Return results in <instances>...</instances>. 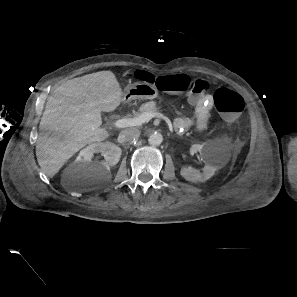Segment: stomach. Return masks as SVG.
<instances>
[{"label": "stomach", "mask_w": 297, "mask_h": 297, "mask_svg": "<svg viewBox=\"0 0 297 297\" xmlns=\"http://www.w3.org/2000/svg\"><path fill=\"white\" fill-rule=\"evenodd\" d=\"M158 96V90L154 84L147 81H139L128 85L122 94L123 102H130L134 99H154Z\"/></svg>", "instance_id": "stomach-1"}]
</instances>
